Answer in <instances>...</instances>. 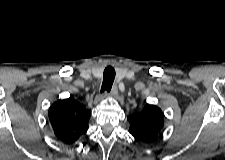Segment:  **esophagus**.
Returning a JSON list of instances; mask_svg holds the SVG:
<instances>
[{"label":"esophagus","instance_id":"obj_1","mask_svg":"<svg viewBox=\"0 0 225 160\" xmlns=\"http://www.w3.org/2000/svg\"><path fill=\"white\" fill-rule=\"evenodd\" d=\"M117 94H118V88L116 85H114L111 89L110 96L115 97ZM105 95H106V93L103 96H105Z\"/></svg>","mask_w":225,"mask_h":160}]
</instances>
